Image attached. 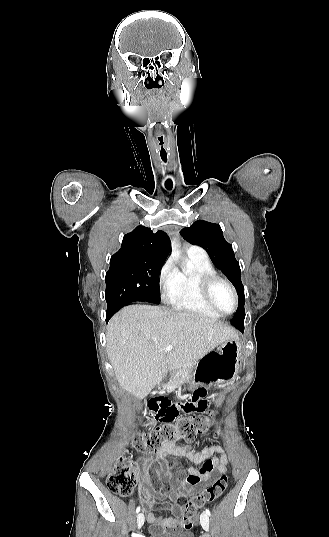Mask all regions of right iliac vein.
<instances>
[{
    "instance_id": "right-iliac-vein-1",
    "label": "right iliac vein",
    "mask_w": 329,
    "mask_h": 537,
    "mask_svg": "<svg viewBox=\"0 0 329 537\" xmlns=\"http://www.w3.org/2000/svg\"><path fill=\"white\" fill-rule=\"evenodd\" d=\"M145 518L142 513L138 514L137 516V527L140 529L144 524Z\"/></svg>"
}]
</instances>
